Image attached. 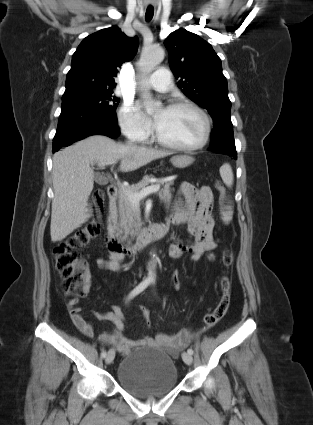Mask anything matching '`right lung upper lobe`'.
Wrapping results in <instances>:
<instances>
[{
    "mask_svg": "<svg viewBox=\"0 0 313 425\" xmlns=\"http://www.w3.org/2000/svg\"><path fill=\"white\" fill-rule=\"evenodd\" d=\"M138 39L127 37L112 26L93 33L80 43L73 54L66 77L65 93L89 89H113L117 67L136 54Z\"/></svg>",
    "mask_w": 313,
    "mask_h": 425,
    "instance_id": "1",
    "label": "right lung upper lobe"
}]
</instances>
